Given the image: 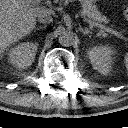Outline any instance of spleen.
Segmentation results:
<instances>
[{"mask_svg":"<svg viewBox=\"0 0 128 128\" xmlns=\"http://www.w3.org/2000/svg\"><path fill=\"white\" fill-rule=\"evenodd\" d=\"M112 53V52H110ZM125 63H126V68H127V71H128V53L125 55ZM128 75V73H127Z\"/></svg>","mask_w":128,"mask_h":128,"instance_id":"1","label":"spleen"}]
</instances>
